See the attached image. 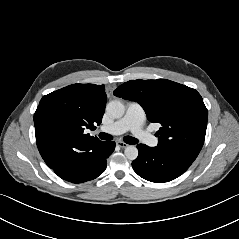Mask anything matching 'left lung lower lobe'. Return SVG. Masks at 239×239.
I'll return each instance as SVG.
<instances>
[{
  "label": "left lung lower lobe",
  "instance_id": "0a47b994",
  "mask_svg": "<svg viewBox=\"0 0 239 239\" xmlns=\"http://www.w3.org/2000/svg\"><path fill=\"white\" fill-rule=\"evenodd\" d=\"M137 148L139 155L132 167L140 177L151 182H169L182 175L194 161L158 146L139 144Z\"/></svg>",
  "mask_w": 239,
  "mask_h": 239
}]
</instances>
